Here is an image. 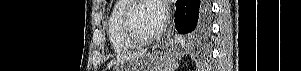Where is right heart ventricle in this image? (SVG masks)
Returning <instances> with one entry per match:
<instances>
[{
	"label": "right heart ventricle",
	"instance_id": "e07e8e85",
	"mask_svg": "<svg viewBox=\"0 0 301 71\" xmlns=\"http://www.w3.org/2000/svg\"><path fill=\"white\" fill-rule=\"evenodd\" d=\"M129 0L116 1L110 12L107 33L112 48L117 52H125L135 47V44L128 41L121 31V16Z\"/></svg>",
	"mask_w": 301,
	"mask_h": 71
}]
</instances>
